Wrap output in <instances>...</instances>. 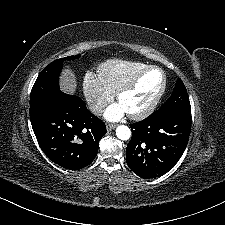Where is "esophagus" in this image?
<instances>
[{
	"mask_svg": "<svg viewBox=\"0 0 225 225\" xmlns=\"http://www.w3.org/2000/svg\"><path fill=\"white\" fill-rule=\"evenodd\" d=\"M116 128V124H108L107 125V130L108 131H112V130H114Z\"/></svg>",
	"mask_w": 225,
	"mask_h": 225,
	"instance_id": "obj_1",
	"label": "esophagus"
}]
</instances>
